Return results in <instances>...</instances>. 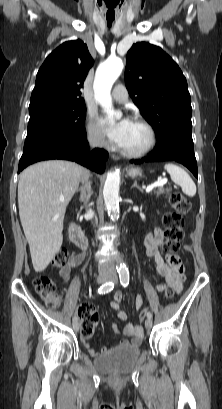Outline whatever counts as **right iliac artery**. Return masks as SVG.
Wrapping results in <instances>:
<instances>
[{
    "label": "right iliac artery",
    "mask_w": 222,
    "mask_h": 409,
    "mask_svg": "<svg viewBox=\"0 0 222 409\" xmlns=\"http://www.w3.org/2000/svg\"><path fill=\"white\" fill-rule=\"evenodd\" d=\"M113 288H114V283L112 282L105 283L102 286H100V288L98 289V294H106L110 292L111 290H113ZM73 322H77L76 316L73 317Z\"/></svg>",
    "instance_id": "right-iliac-artery-1"
}]
</instances>
